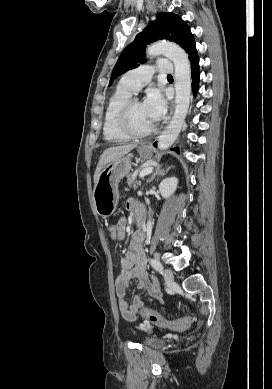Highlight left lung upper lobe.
I'll return each mask as SVG.
<instances>
[{"instance_id":"5c2ea615","label":"left lung upper lobe","mask_w":272,"mask_h":389,"mask_svg":"<svg viewBox=\"0 0 272 389\" xmlns=\"http://www.w3.org/2000/svg\"><path fill=\"white\" fill-rule=\"evenodd\" d=\"M166 39L179 44L188 54L196 47L189 26L174 13H159L156 20L136 35L134 41L121 53L110 78V83L129 69L144 63L146 44Z\"/></svg>"}]
</instances>
